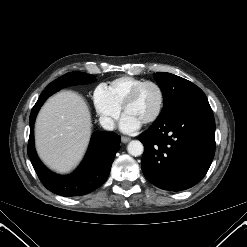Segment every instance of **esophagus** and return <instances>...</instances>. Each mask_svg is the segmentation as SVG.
<instances>
[{"label":"esophagus","mask_w":247,"mask_h":247,"mask_svg":"<svg viewBox=\"0 0 247 247\" xmlns=\"http://www.w3.org/2000/svg\"><path fill=\"white\" fill-rule=\"evenodd\" d=\"M121 141H122L123 143H128V142L130 141V138H129V137L122 136V137H121Z\"/></svg>","instance_id":"34e87169"}]
</instances>
